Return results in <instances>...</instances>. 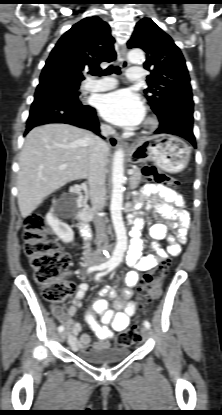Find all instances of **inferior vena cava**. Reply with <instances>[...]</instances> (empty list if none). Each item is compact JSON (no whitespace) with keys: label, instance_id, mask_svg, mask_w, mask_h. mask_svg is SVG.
I'll return each mask as SVG.
<instances>
[{"label":"inferior vena cava","instance_id":"1","mask_svg":"<svg viewBox=\"0 0 222 415\" xmlns=\"http://www.w3.org/2000/svg\"><path fill=\"white\" fill-rule=\"evenodd\" d=\"M101 134L107 137L115 133V130L109 125H101ZM108 151L107 143L100 137H93L90 144V161H89V195L92 204V212L95 215L96 236L100 244L95 252L96 258H102L103 251L107 248L108 236L106 233L105 221L99 215L105 206V156Z\"/></svg>","mask_w":222,"mask_h":415}]
</instances>
